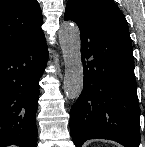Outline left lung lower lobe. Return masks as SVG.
<instances>
[{"instance_id": "0a47b994", "label": "left lung lower lobe", "mask_w": 145, "mask_h": 147, "mask_svg": "<svg viewBox=\"0 0 145 147\" xmlns=\"http://www.w3.org/2000/svg\"><path fill=\"white\" fill-rule=\"evenodd\" d=\"M64 19L76 22L81 32L84 85L70 111L75 146L108 139L139 147L140 108L126 19L76 9L67 10Z\"/></svg>"}]
</instances>
